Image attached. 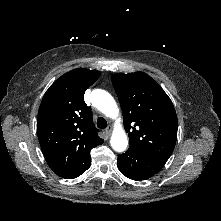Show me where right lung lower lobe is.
<instances>
[{
	"label": "right lung lower lobe",
	"instance_id": "obj_1",
	"mask_svg": "<svg viewBox=\"0 0 221 221\" xmlns=\"http://www.w3.org/2000/svg\"><path fill=\"white\" fill-rule=\"evenodd\" d=\"M90 166H91V160L88 161L86 164H84L81 168L75 170L74 172L68 174L67 176H65L63 178H66V179L76 178V177L80 176L81 174H83L86 170H88Z\"/></svg>",
	"mask_w": 221,
	"mask_h": 221
}]
</instances>
